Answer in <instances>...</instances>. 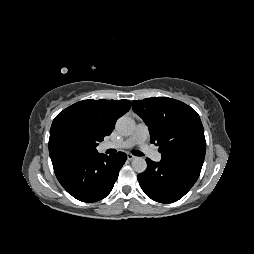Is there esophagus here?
<instances>
[{"instance_id":"obj_1","label":"esophagus","mask_w":254,"mask_h":254,"mask_svg":"<svg viewBox=\"0 0 254 254\" xmlns=\"http://www.w3.org/2000/svg\"><path fill=\"white\" fill-rule=\"evenodd\" d=\"M135 158H136V156H134L133 154H127V159L128 160H133Z\"/></svg>"}]
</instances>
